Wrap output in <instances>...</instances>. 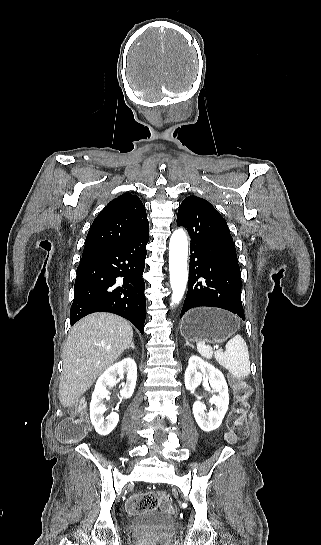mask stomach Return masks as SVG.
<instances>
[{
    "label": "stomach",
    "instance_id": "0dacf381",
    "mask_svg": "<svg viewBox=\"0 0 321 545\" xmlns=\"http://www.w3.org/2000/svg\"><path fill=\"white\" fill-rule=\"evenodd\" d=\"M239 327L238 319L231 313L222 311V309L201 307V309H192L184 315L180 331L182 337L187 341L223 343L231 335H234Z\"/></svg>",
    "mask_w": 321,
    "mask_h": 545
}]
</instances>
